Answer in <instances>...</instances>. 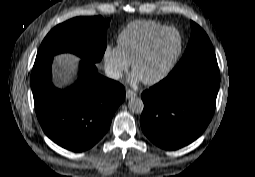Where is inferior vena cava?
Here are the masks:
<instances>
[{
    "instance_id": "obj_1",
    "label": "inferior vena cava",
    "mask_w": 255,
    "mask_h": 177,
    "mask_svg": "<svg viewBox=\"0 0 255 177\" xmlns=\"http://www.w3.org/2000/svg\"><path fill=\"white\" fill-rule=\"evenodd\" d=\"M105 75L114 80H119L122 77V73L120 70L113 68V67H106L105 68Z\"/></svg>"
}]
</instances>
